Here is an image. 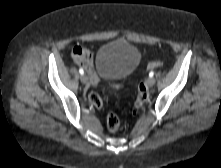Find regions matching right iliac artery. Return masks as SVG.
Here are the masks:
<instances>
[{"instance_id":"1","label":"right iliac artery","mask_w":221,"mask_h":168,"mask_svg":"<svg viewBox=\"0 0 221 168\" xmlns=\"http://www.w3.org/2000/svg\"><path fill=\"white\" fill-rule=\"evenodd\" d=\"M79 73H80L81 75H83V74H84V70H83L82 68H80V69H79Z\"/></svg>"}]
</instances>
